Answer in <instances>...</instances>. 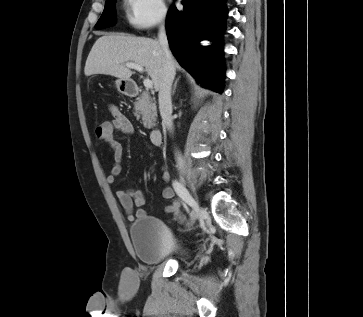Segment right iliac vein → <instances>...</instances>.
Here are the masks:
<instances>
[{"label":"right iliac vein","mask_w":363,"mask_h":317,"mask_svg":"<svg viewBox=\"0 0 363 317\" xmlns=\"http://www.w3.org/2000/svg\"><path fill=\"white\" fill-rule=\"evenodd\" d=\"M191 187H192V189H193V186L191 185ZM200 205H199V203H198V201H197V199L195 198V207H194V210H195V212H196V215L198 214V212L200 211ZM195 215V216H196ZM194 219V218H193Z\"/></svg>","instance_id":"obj_1"}]
</instances>
